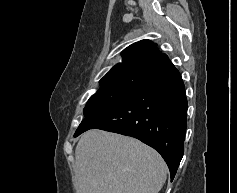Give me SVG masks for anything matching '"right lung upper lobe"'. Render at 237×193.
I'll list each match as a JSON object with an SVG mask.
<instances>
[{"label": "right lung upper lobe", "instance_id": "1", "mask_svg": "<svg viewBox=\"0 0 237 193\" xmlns=\"http://www.w3.org/2000/svg\"><path fill=\"white\" fill-rule=\"evenodd\" d=\"M121 55L122 62L115 65L102 79L130 71H146L163 54L158 51L155 43L141 40L128 46Z\"/></svg>", "mask_w": 237, "mask_h": 193}]
</instances>
